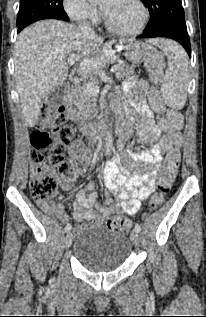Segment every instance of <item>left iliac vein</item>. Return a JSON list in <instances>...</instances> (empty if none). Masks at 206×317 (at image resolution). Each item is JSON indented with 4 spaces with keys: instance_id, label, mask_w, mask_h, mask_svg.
Segmentation results:
<instances>
[{
    "instance_id": "left-iliac-vein-1",
    "label": "left iliac vein",
    "mask_w": 206,
    "mask_h": 317,
    "mask_svg": "<svg viewBox=\"0 0 206 317\" xmlns=\"http://www.w3.org/2000/svg\"><path fill=\"white\" fill-rule=\"evenodd\" d=\"M131 241H132L134 246H138V244H139V236H138V233L136 231H133L131 233Z\"/></svg>"
}]
</instances>
